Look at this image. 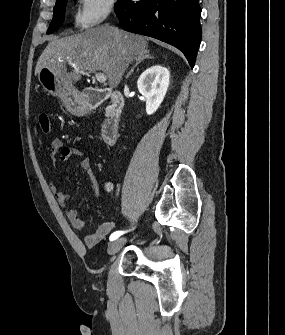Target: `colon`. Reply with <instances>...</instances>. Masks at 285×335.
Segmentation results:
<instances>
[{
  "label": "colon",
  "instance_id": "colon-1",
  "mask_svg": "<svg viewBox=\"0 0 285 335\" xmlns=\"http://www.w3.org/2000/svg\"><path fill=\"white\" fill-rule=\"evenodd\" d=\"M38 120H39V125H40L42 132L49 133L51 130V123H50V118L48 114L41 113L39 115Z\"/></svg>",
  "mask_w": 285,
  "mask_h": 335
}]
</instances>
